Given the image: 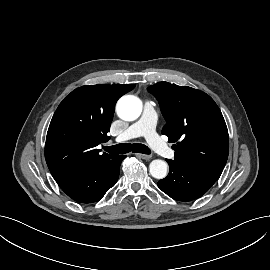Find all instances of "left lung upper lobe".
<instances>
[{"instance_id": "5c2ea615", "label": "left lung upper lobe", "mask_w": 270, "mask_h": 270, "mask_svg": "<svg viewBox=\"0 0 270 270\" xmlns=\"http://www.w3.org/2000/svg\"><path fill=\"white\" fill-rule=\"evenodd\" d=\"M148 91L158 100L166 120L162 134L177 142L175 160L222 173L228 158L229 136L223 115L206 93L160 82Z\"/></svg>"}]
</instances>
